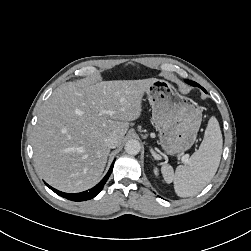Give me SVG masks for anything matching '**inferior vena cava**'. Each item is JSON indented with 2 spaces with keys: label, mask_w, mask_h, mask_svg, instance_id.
<instances>
[{
  "label": "inferior vena cava",
  "mask_w": 251,
  "mask_h": 251,
  "mask_svg": "<svg viewBox=\"0 0 251 251\" xmlns=\"http://www.w3.org/2000/svg\"><path fill=\"white\" fill-rule=\"evenodd\" d=\"M109 148H116L118 146V137L116 135H109L104 140Z\"/></svg>",
  "instance_id": "inferior-vena-cava-1"
}]
</instances>
